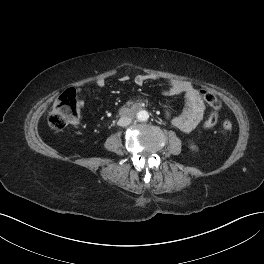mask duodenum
<instances>
[{
    "label": "duodenum",
    "mask_w": 264,
    "mask_h": 264,
    "mask_svg": "<svg viewBox=\"0 0 264 264\" xmlns=\"http://www.w3.org/2000/svg\"><path fill=\"white\" fill-rule=\"evenodd\" d=\"M141 109H142V106H141V105H135V106H133L132 108L125 109V110L123 111V116H124V117H128V116H130L132 113L137 112V111H139V110H141Z\"/></svg>",
    "instance_id": "1"
}]
</instances>
